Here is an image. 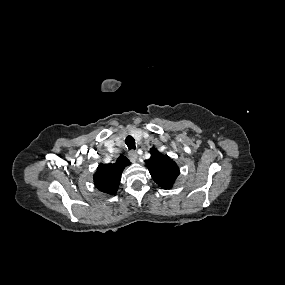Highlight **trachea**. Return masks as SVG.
<instances>
[{
    "label": "trachea",
    "mask_w": 285,
    "mask_h": 285,
    "mask_svg": "<svg viewBox=\"0 0 285 285\" xmlns=\"http://www.w3.org/2000/svg\"><path fill=\"white\" fill-rule=\"evenodd\" d=\"M125 143L128 146L129 150H135L136 149L135 140L132 136L126 137Z\"/></svg>",
    "instance_id": "1"
}]
</instances>
